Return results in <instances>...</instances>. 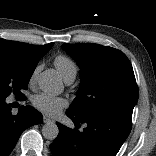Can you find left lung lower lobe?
<instances>
[{
	"mask_svg": "<svg viewBox=\"0 0 156 156\" xmlns=\"http://www.w3.org/2000/svg\"><path fill=\"white\" fill-rule=\"evenodd\" d=\"M75 130L56 123L59 134L50 145L53 156H115L131 131V116L118 111L75 115L66 111ZM79 123H85L79 131Z\"/></svg>",
	"mask_w": 156,
	"mask_h": 156,
	"instance_id": "0a47b994",
	"label": "left lung lower lobe"
}]
</instances>
